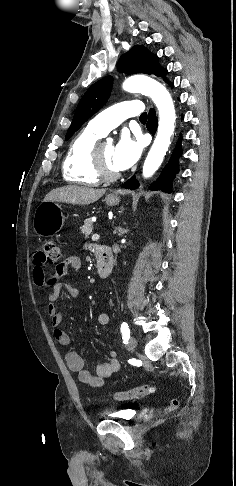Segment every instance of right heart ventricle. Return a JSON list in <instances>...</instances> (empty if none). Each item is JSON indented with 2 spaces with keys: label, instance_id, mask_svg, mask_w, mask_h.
Instances as JSON below:
<instances>
[{
  "label": "right heart ventricle",
  "instance_id": "e07e8e85",
  "mask_svg": "<svg viewBox=\"0 0 236 486\" xmlns=\"http://www.w3.org/2000/svg\"><path fill=\"white\" fill-rule=\"evenodd\" d=\"M101 137L87 127L73 138L62 164V174L65 181L86 186L99 184L100 180L95 176L92 169L91 153L94 145Z\"/></svg>",
  "mask_w": 236,
  "mask_h": 486
}]
</instances>
